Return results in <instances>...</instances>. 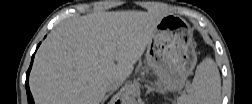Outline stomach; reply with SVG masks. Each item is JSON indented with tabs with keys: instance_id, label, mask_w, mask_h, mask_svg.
<instances>
[{
	"instance_id": "obj_1",
	"label": "stomach",
	"mask_w": 252,
	"mask_h": 104,
	"mask_svg": "<svg viewBox=\"0 0 252 104\" xmlns=\"http://www.w3.org/2000/svg\"><path fill=\"white\" fill-rule=\"evenodd\" d=\"M146 61L163 89L181 90L197 63L189 24L175 16L162 18L147 46Z\"/></svg>"
}]
</instances>
